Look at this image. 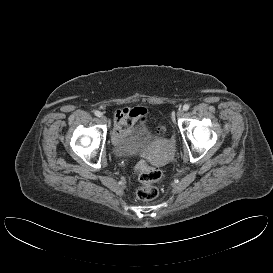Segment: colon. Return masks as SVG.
Here are the masks:
<instances>
[{"label": "colon", "instance_id": "1", "mask_svg": "<svg viewBox=\"0 0 273 273\" xmlns=\"http://www.w3.org/2000/svg\"><path fill=\"white\" fill-rule=\"evenodd\" d=\"M136 172L140 182V187L137 190L138 198L144 201L154 199L158 195L155 183L161 178V171L145 161H140L136 165Z\"/></svg>", "mask_w": 273, "mask_h": 273}]
</instances>
